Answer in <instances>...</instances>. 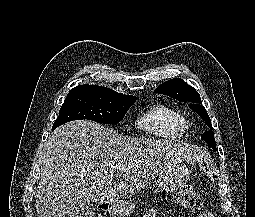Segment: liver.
Returning <instances> with one entry per match:
<instances>
[{"label": "liver", "instance_id": "1", "mask_svg": "<svg viewBox=\"0 0 255 217\" xmlns=\"http://www.w3.org/2000/svg\"><path fill=\"white\" fill-rule=\"evenodd\" d=\"M199 156L193 146L124 137L87 120L66 123L52 132L42 150L38 217H68L79 201L110 203L131 197L163 171ZM116 165L123 169L115 170Z\"/></svg>", "mask_w": 255, "mask_h": 217}]
</instances>
